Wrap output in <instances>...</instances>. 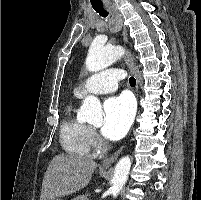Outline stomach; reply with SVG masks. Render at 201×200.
<instances>
[{
	"label": "stomach",
	"mask_w": 201,
	"mask_h": 200,
	"mask_svg": "<svg viewBox=\"0 0 201 200\" xmlns=\"http://www.w3.org/2000/svg\"><path fill=\"white\" fill-rule=\"evenodd\" d=\"M54 200H61L60 198H55Z\"/></svg>",
	"instance_id": "obj_1"
}]
</instances>
